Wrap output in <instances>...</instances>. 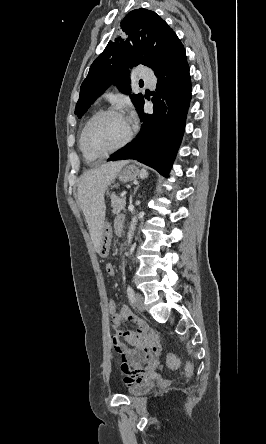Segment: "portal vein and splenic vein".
I'll use <instances>...</instances> for the list:
<instances>
[{
    "label": "portal vein and splenic vein",
    "mask_w": 266,
    "mask_h": 444,
    "mask_svg": "<svg viewBox=\"0 0 266 444\" xmlns=\"http://www.w3.org/2000/svg\"><path fill=\"white\" fill-rule=\"evenodd\" d=\"M121 196H122V197H125V196H126V192H123V193L121 194Z\"/></svg>",
    "instance_id": "portal-vein-and-splenic-vein-1"
}]
</instances>
